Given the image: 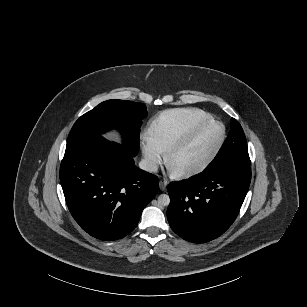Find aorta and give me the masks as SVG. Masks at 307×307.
Listing matches in <instances>:
<instances>
[{
  "instance_id": "762f6f07",
  "label": "aorta",
  "mask_w": 307,
  "mask_h": 307,
  "mask_svg": "<svg viewBox=\"0 0 307 307\" xmlns=\"http://www.w3.org/2000/svg\"><path fill=\"white\" fill-rule=\"evenodd\" d=\"M158 203L162 206H168L170 203V198L167 194H161L158 196Z\"/></svg>"
}]
</instances>
